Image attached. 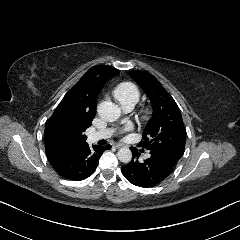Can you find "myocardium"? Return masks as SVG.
Returning a JSON list of instances; mask_svg holds the SVG:
<instances>
[{
    "label": "myocardium",
    "mask_w": 240,
    "mask_h": 240,
    "mask_svg": "<svg viewBox=\"0 0 240 240\" xmlns=\"http://www.w3.org/2000/svg\"><path fill=\"white\" fill-rule=\"evenodd\" d=\"M150 113H151L150 110L148 108H146L144 110V117L147 119L149 117Z\"/></svg>",
    "instance_id": "1"
}]
</instances>
